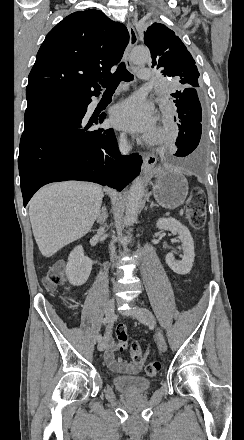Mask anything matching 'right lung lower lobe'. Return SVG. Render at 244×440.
I'll list each match as a JSON object with an SVG mask.
<instances>
[{
	"label": "right lung lower lobe",
	"instance_id": "98d812e1",
	"mask_svg": "<svg viewBox=\"0 0 244 440\" xmlns=\"http://www.w3.org/2000/svg\"><path fill=\"white\" fill-rule=\"evenodd\" d=\"M93 93L81 104L62 101L28 102L18 157L24 207L45 184L80 180L121 190L140 172L138 154L121 156L112 129L88 130L83 120Z\"/></svg>",
	"mask_w": 244,
	"mask_h": 440
}]
</instances>
